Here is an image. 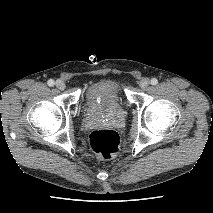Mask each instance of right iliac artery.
<instances>
[{
    "label": "right iliac artery",
    "mask_w": 213,
    "mask_h": 213,
    "mask_svg": "<svg viewBox=\"0 0 213 213\" xmlns=\"http://www.w3.org/2000/svg\"><path fill=\"white\" fill-rule=\"evenodd\" d=\"M47 84H48V86L52 87V86H54L55 82H54V80L50 79V80H48Z\"/></svg>",
    "instance_id": "82829eb1"
}]
</instances>
